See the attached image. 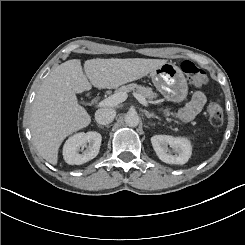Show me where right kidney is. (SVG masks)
Instances as JSON below:
<instances>
[{"instance_id": "ca27d5eb", "label": "right kidney", "mask_w": 245, "mask_h": 245, "mask_svg": "<svg viewBox=\"0 0 245 245\" xmlns=\"http://www.w3.org/2000/svg\"><path fill=\"white\" fill-rule=\"evenodd\" d=\"M102 136L90 131L80 132L69 137L63 147V157L70 165H81L95 158L100 150ZM82 153H79V152Z\"/></svg>"}]
</instances>
